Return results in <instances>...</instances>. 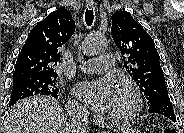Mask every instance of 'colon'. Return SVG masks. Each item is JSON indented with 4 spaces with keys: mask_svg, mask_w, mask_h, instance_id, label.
Instances as JSON below:
<instances>
[{
    "mask_svg": "<svg viewBox=\"0 0 184 133\" xmlns=\"http://www.w3.org/2000/svg\"><path fill=\"white\" fill-rule=\"evenodd\" d=\"M164 133H174V130L171 129V128H166V129L164 130Z\"/></svg>",
    "mask_w": 184,
    "mask_h": 133,
    "instance_id": "5ec220e1",
    "label": "colon"
}]
</instances>
